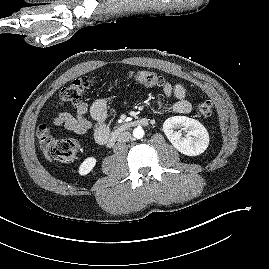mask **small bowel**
Masks as SVG:
<instances>
[{
	"label": "small bowel",
	"instance_id": "small-bowel-1",
	"mask_svg": "<svg viewBox=\"0 0 269 269\" xmlns=\"http://www.w3.org/2000/svg\"><path fill=\"white\" fill-rule=\"evenodd\" d=\"M163 91L167 97H174L176 99L173 105L175 113L188 114L191 111V104L186 98V90L183 85L167 83ZM87 113L90 114L92 120L86 117ZM107 114V101L105 99H98L91 106L86 102L78 103L75 115L65 111L58 112L54 122L57 126L64 127L78 135L92 131L95 141L99 144H105L110 132Z\"/></svg>",
	"mask_w": 269,
	"mask_h": 269
}]
</instances>
